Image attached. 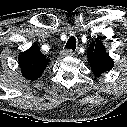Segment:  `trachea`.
<instances>
[{
    "mask_svg": "<svg viewBox=\"0 0 127 127\" xmlns=\"http://www.w3.org/2000/svg\"><path fill=\"white\" fill-rule=\"evenodd\" d=\"M66 49H71L72 51H75L76 49V38L74 36H71L66 45H65Z\"/></svg>",
    "mask_w": 127,
    "mask_h": 127,
    "instance_id": "1",
    "label": "trachea"
}]
</instances>
